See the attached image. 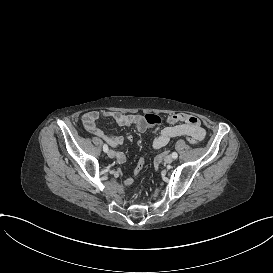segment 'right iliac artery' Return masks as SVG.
Returning <instances> with one entry per match:
<instances>
[{"label": "right iliac artery", "mask_w": 273, "mask_h": 273, "mask_svg": "<svg viewBox=\"0 0 273 273\" xmlns=\"http://www.w3.org/2000/svg\"><path fill=\"white\" fill-rule=\"evenodd\" d=\"M103 151H104V152H107V151H108V146H107V144H104V145H103Z\"/></svg>", "instance_id": "obj_1"}]
</instances>
